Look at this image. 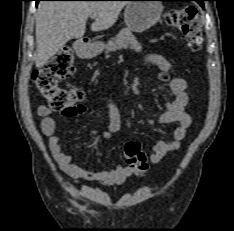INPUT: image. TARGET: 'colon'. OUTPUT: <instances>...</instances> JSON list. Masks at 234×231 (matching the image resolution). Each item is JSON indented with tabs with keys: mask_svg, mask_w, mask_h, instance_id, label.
Returning <instances> with one entry per match:
<instances>
[{
	"mask_svg": "<svg viewBox=\"0 0 234 231\" xmlns=\"http://www.w3.org/2000/svg\"><path fill=\"white\" fill-rule=\"evenodd\" d=\"M165 23L178 29L192 48H198L202 41V28L197 9L191 5L167 12ZM75 72L73 55L64 49L57 53L42 68L33 74V83L40 95L49 106L55 110H70L84 97L78 87L65 88L59 82L71 77ZM166 78V75H162ZM124 155L129 164L138 174H143L148 168L147 156L138 142H128L124 148Z\"/></svg>",
	"mask_w": 234,
	"mask_h": 231,
	"instance_id": "5ec220e1",
	"label": "colon"
}]
</instances>
